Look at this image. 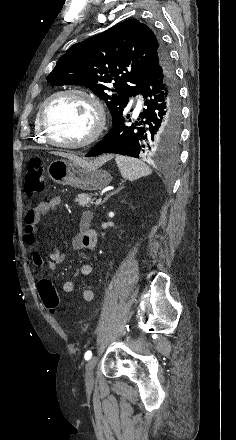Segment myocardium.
I'll list each match as a JSON object with an SVG mask.
<instances>
[{
	"label": "myocardium",
	"instance_id": "f54148a6",
	"mask_svg": "<svg viewBox=\"0 0 236 440\" xmlns=\"http://www.w3.org/2000/svg\"><path fill=\"white\" fill-rule=\"evenodd\" d=\"M62 96H75V97L82 98L89 103V105L91 106V108L93 110V113H94L93 128H92L90 134L85 139H83L81 141H78L75 143L59 142V141L54 140L48 131V128L46 126V121H45V115H46L47 108L53 100H55L58 97H62ZM38 122H39L40 129L42 131V134H43L47 143H49L53 146H57V147L65 148V149H78V148H83V147L89 146V145L93 144L94 142H96L100 138V136L102 135V133L105 129V125H106V111H105L104 105L102 104L101 100L97 96H95L93 93L88 92L83 89H79V88H67V89H62V90L54 92L44 101V103L42 104V106L39 110Z\"/></svg>",
	"mask_w": 236,
	"mask_h": 440
}]
</instances>
